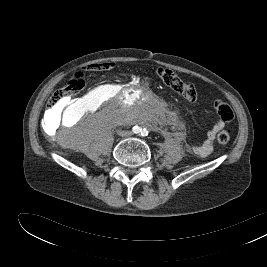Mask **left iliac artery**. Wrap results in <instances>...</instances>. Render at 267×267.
I'll return each instance as SVG.
<instances>
[{
    "mask_svg": "<svg viewBox=\"0 0 267 267\" xmlns=\"http://www.w3.org/2000/svg\"><path fill=\"white\" fill-rule=\"evenodd\" d=\"M142 136H147L148 135V131L146 129H143V131L141 132Z\"/></svg>",
    "mask_w": 267,
    "mask_h": 267,
    "instance_id": "left-iliac-artery-1",
    "label": "left iliac artery"
}]
</instances>
